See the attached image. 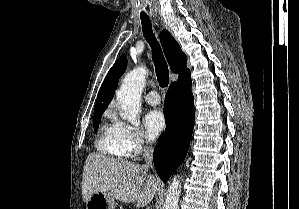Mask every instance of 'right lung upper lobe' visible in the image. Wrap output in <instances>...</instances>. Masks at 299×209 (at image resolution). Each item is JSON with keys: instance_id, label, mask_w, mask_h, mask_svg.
I'll return each instance as SVG.
<instances>
[{"instance_id": "cb5924a9", "label": "right lung upper lobe", "mask_w": 299, "mask_h": 209, "mask_svg": "<svg viewBox=\"0 0 299 209\" xmlns=\"http://www.w3.org/2000/svg\"><path fill=\"white\" fill-rule=\"evenodd\" d=\"M160 41L171 70L174 73L179 74L178 81L172 84L181 83L190 79V70L186 67L187 57L182 52L176 40L168 31L163 30L160 33ZM126 66L127 58L126 56H121L109 70L99 91L94 113H103L105 111L113 98L118 78L123 74Z\"/></svg>"}]
</instances>
